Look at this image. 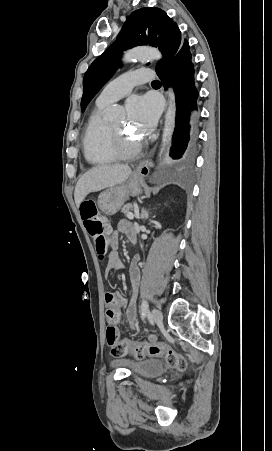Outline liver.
Returning a JSON list of instances; mask_svg holds the SVG:
<instances>
[{
    "mask_svg": "<svg viewBox=\"0 0 272 451\" xmlns=\"http://www.w3.org/2000/svg\"><path fill=\"white\" fill-rule=\"evenodd\" d=\"M131 168L128 164H115V166H95L81 176L75 186L74 200L77 208L90 192H99L104 188H111L121 184L129 178Z\"/></svg>",
    "mask_w": 272,
    "mask_h": 451,
    "instance_id": "1",
    "label": "liver"
}]
</instances>
